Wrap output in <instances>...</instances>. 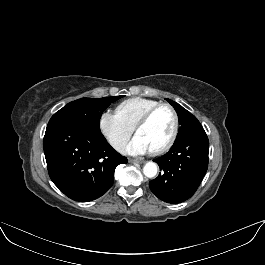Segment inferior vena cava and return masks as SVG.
I'll return each mask as SVG.
<instances>
[{"mask_svg": "<svg viewBox=\"0 0 265 265\" xmlns=\"http://www.w3.org/2000/svg\"><path fill=\"white\" fill-rule=\"evenodd\" d=\"M111 144L115 149H117L119 151H121L125 146V143L121 140H112Z\"/></svg>", "mask_w": 265, "mask_h": 265, "instance_id": "602c4592", "label": "inferior vena cava"}]
</instances>
